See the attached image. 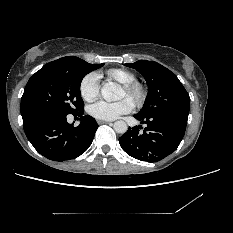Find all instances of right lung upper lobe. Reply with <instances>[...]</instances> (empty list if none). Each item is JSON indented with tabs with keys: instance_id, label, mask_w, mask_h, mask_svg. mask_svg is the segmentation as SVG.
<instances>
[{
	"instance_id": "1",
	"label": "right lung upper lobe",
	"mask_w": 233,
	"mask_h": 233,
	"mask_svg": "<svg viewBox=\"0 0 233 233\" xmlns=\"http://www.w3.org/2000/svg\"><path fill=\"white\" fill-rule=\"evenodd\" d=\"M74 58H75V56L63 57V58H60L58 60L47 63L44 66L45 67L63 66V65H66V64L70 63Z\"/></svg>"
}]
</instances>
